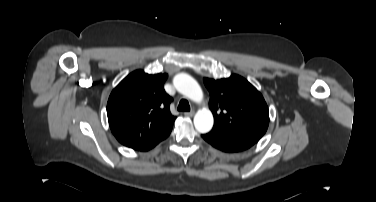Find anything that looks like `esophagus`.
Listing matches in <instances>:
<instances>
[{"label": "esophagus", "instance_id": "1", "mask_svg": "<svg viewBox=\"0 0 376 202\" xmlns=\"http://www.w3.org/2000/svg\"><path fill=\"white\" fill-rule=\"evenodd\" d=\"M184 115L187 116V117H192L194 115V111L184 112Z\"/></svg>", "mask_w": 376, "mask_h": 202}]
</instances>
